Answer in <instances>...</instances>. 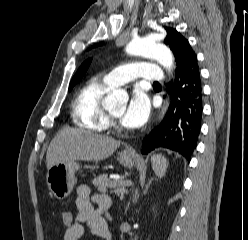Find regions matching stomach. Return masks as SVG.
I'll list each match as a JSON object with an SVG mask.
<instances>
[{
    "label": "stomach",
    "mask_w": 248,
    "mask_h": 240,
    "mask_svg": "<svg viewBox=\"0 0 248 240\" xmlns=\"http://www.w3.org/2000/svg\"><path fill=\"white\" fill-rule=\"evenodd\" d=\"M136 160L137 156L131 151H124L119 155L120 163L128 168H132ZM80 168L79 163L72 161L57 163L48 169L46 182L57 199H64L70 195L76 184L75 173Z\"/></svg>",
    "instance_id": "1"
}]
</instances>
